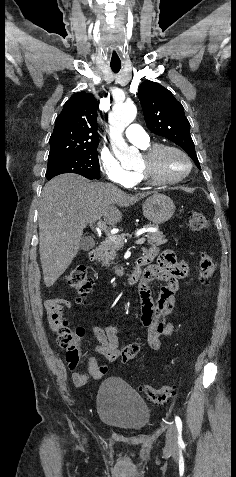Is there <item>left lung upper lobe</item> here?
Masks as SVG:
<instances>
[{
    "mask_svg": "<svg viewBox=\"0 0 236 477\" xmlns=\"http://www.w3.org/2000/svg\"><path fill=\"white\" fill-rule=\"evenodd\" d=\"M139 100L142 104L147 127L155 134L163 136L180 147L201 169L193 140L190 136V123L185 117L184 109L172 93L152 81H145L139 86Z\"/></svg>",
    "mask_w": 236,
    "mask_h": 477,
    "instance_id": "obj_1",
    "label": "left lung upper lobe"
}]
</instances>
